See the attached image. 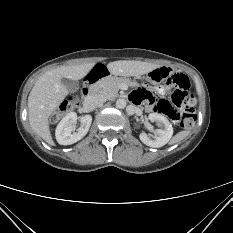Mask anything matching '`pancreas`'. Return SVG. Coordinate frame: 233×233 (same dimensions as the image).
Instances as JSON below:
<instances>
[{
  "label": "pancreas",
  "mask_w": 233,
  "mask_h": 233,
  "mask_svg": "<svg viewBox=\"0 0 233 233\" xmlns=\"http://www.w3.org/2000/svg\"><path fill=\"white\" fill-rule=\"evenodd\" d=\"M123 83L121 79L106 78L101 80L98 85L100 92L107 98H114L117 96L119 86Z\"/></svg>",
  "instance_id": "1"
}]
</instances>
